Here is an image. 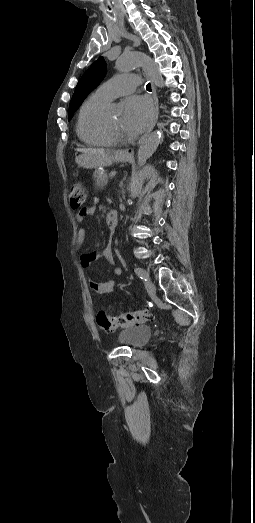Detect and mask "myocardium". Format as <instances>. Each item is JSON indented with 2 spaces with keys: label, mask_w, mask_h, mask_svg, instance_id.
Returning <instances> with one entry per match:
<instances>
[{
  "label": "myocardium",
  "mask_w": 255,
  "mask_h": 523,
  "mask_svg": "<svg viewBox=\"0 0 255 523\" xmlns=\"http://www.w3.org/2000/svg\"><path fill=\"white\" fill-rule=\"evenodd\" d=\"M98 124L100 129L115 142H130L133 140L132 137H123L118 133L106 111L102 113Z\"/></svg>",
  "instance_id": "1"
}]
</instances>
